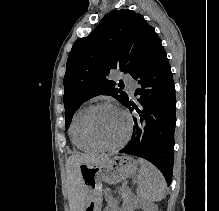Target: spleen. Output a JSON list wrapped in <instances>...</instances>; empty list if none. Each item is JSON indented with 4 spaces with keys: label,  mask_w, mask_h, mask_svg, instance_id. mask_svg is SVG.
<instances>
[{
    "label": "spleen",
    "mask_w": 219,
    "mask_h": 211,
    "mask_svg": "<svg viewBox=\"0 0 219 211\" xmlns=\"http://www.w3.org/2000/svg\"><path fill=\"white\" fill-rule=\"evenodd\" d=\"M140 171L137 175V193L140 201L152 203L163 199L167 187L164 175L150 161L138 159Z\"/></svg>",
    "instance_id": "3e777b00"
}]
</instances>
